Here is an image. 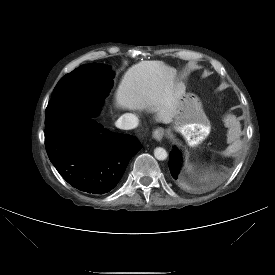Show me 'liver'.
Instances as JSON below:
<instances>
[{
  "instance_id": "obj_1",
  "label": "liver",
  "mask_w": 275,
  "mask_h": 275,
  "mask_svg": "<svg viewBox=\"0 0 275 275\" xmlns=\"http://www.w3.org/2000/svg\"><path fill=\"white\" fill-rule=\"evenodd\" d=\"M174 75V69L162 61H142L133 65L118 87L117 105L153 112L157 122H172L182 94L174 88Z\"/></svg>"
}]
</instances>
